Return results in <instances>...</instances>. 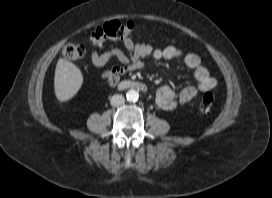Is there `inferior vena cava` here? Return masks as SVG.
<instances>
[{
    "label": "inferior vena cava",
    "mask_w": 272,
    "mask_h": 198,
    "mask_svg": "<svg viewBox=\"0 0 272 198\" xmlns=\"http://www.w3.org/2000/svg\"><path fill=\"white\" fill-rule=\"evenodd\" d=\"M110 103L112 106L117 107L125 103V98L123 95L115 94L111 97Z\"/></svg>",
    "instance_id": "1"
}]
</instances>
